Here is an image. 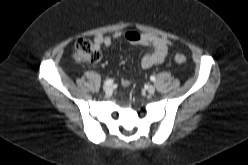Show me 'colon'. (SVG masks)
I'll return each mask as SVG.
<instances>
[{
  "instance_id": "colon-1",
  "label": "colon",
  "mask_w": 248,
  "mask_h": 165,
  "mask_svg": "<svg viewBox=\"0 0 248 165\" xmlns=\"http://www.w3.org/2000/svg\"><path fill=\"white\" fill-rule=\"evenodd\" d=\"M74 59L80 64H94L99 61L100 53L89 39H79L75 44ZM187 60L184 54L175 55V61L179 64Z\"/></svg>"
}]
</instances>
